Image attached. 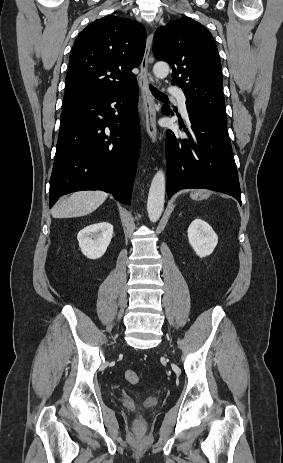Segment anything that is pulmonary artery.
<instances>
[{"instance_id":"e3ab8cb5","label":"pulmonary artery","mask_w":283,"mask_h":463,"mask_svg":"<svg viewBox=\"0 0 283 463\" xmlns=\"http://www.w3.org/2000/svg\"><path fill=\"white\" fill-rule=\"evenodd\" d=\"M170 94L172 96H174L178 102H179V105H180V109L184 115V117L187 118V110H186V96L185 94L183 93L182 90L178 89V88H174L172 87L170 89Z\"/></svg>"}]
</instances>
